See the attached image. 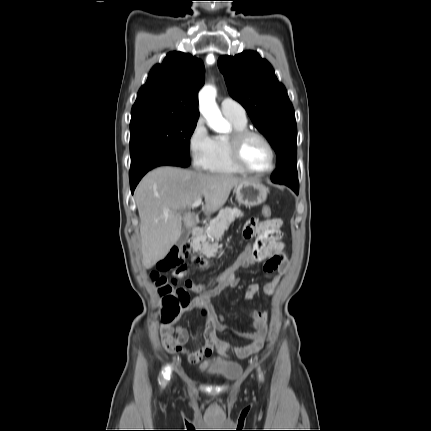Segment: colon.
<instances>
[{
	"label": "colon",
	"instance_id": "obj_1",
	"mask_svg": "<svg viewBox=\"0 0 431 431\" xmlns=\"http://www.w3.org/2000/svg\"><path fill=\"white\" fill-rule=\"evenodd\" d=\"M263 214L267 217L271 215L269 206L263 208ZM251 245V242H245L244 249L228 264L231 268L230 277L216 278L215 276V279H217L216 286H212L211 290L207 291V296L199 295L194 302L190 301V296L186 288L178 284V278L187 271L185 261L189 250L186 247L172 248L168 254L159 261L157 265L158 271L151 274V278L161 299L163 319L165 321H172L180 312L187 314L191 313L194 308H209L210 304L215 302V296H221V294L225 292V288L230 289L233 286L232 283H236L237 280L233 277L235 272H241L245 265L244 261L248 260V258L253 255ZM221 271H223V268ZM165 272H172L174 277L167 278L161 274ZM220 280H224V283H220Z\"/></svg>",
	"mask_w": 431,
	"mask_h": 431
}]
</instances>
